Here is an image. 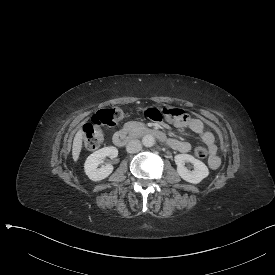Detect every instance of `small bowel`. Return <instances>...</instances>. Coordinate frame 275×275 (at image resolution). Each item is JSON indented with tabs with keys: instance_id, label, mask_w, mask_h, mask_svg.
Instances as JSON below:
<instances>
[{
	"instance_id": "obj_1",
	"label": "small bowel",
	"mask_w": 275,
	"mask_h": 275,
	"mask_svg": "<svg viewBox=\"0 0 275 275\" xmlns=\"http://www.w3.org/2000/svg\"><path fill=\"white\" fill-rule=\"evenodd\" d=\"M175 126L180 129L188 128L209 148L211 155L208 160V165L211 169L215 170L220 166V159L216 155L217 146L215 144L214 135L210 131L204 129L203 122L200 119L189 117L183 121L175 122ZM170 145L180 153H187L191 149V144L184 140L173 139L170 141Z\"/></svg>"
}]
</instances>
